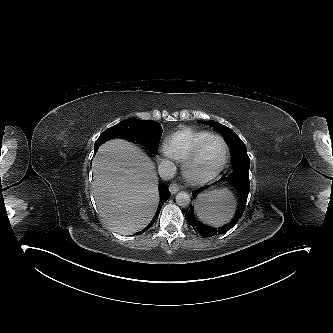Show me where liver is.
Returning a JSON list of instances; mask_svg holds the SVG:
<instances>
[{"label":"liver","mask_w":333,"mask_h":333,"mask_svg":"<svg viewBox=\"0 0 333 333\" xmlns=\"http://www.w3.org/2000/svg\"><path fill=\"white\" fill-rule=\"evenodd\" d=\"M92 170L96 205L106 224L122 235L143 229L159 201L150 158L136 145L114 139L99 148Z\"/></svg>","instance_id":"1"}]
</instances>
